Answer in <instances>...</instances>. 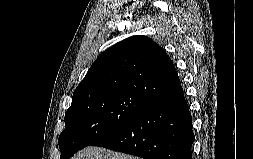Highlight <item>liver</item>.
<instances>
[{"mask_svg":"<svg viewBox=\"0 0 253 159\" xmlns=\"http://www.w3.org/2000/svg\"><path fill=\"white\" fill-rule=\"evenodd\" d=\"M72 159H141L105 148L88 146L79 151Z\"/></svg>","mask_w":253,"mask_h":159,"instance_id":"6515ba94","label":"liver"}]
</instances>
